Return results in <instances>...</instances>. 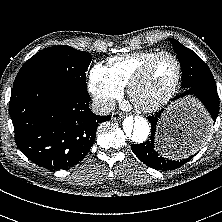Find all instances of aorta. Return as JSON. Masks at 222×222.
<instances>
[{"mask_svg":"<svg viewBox=\"0 0 222 222\" xmlns=\"http://www.w3.org/2000/svg\"><path fill=\"white\" fill-rule=\"evenodd\" d=\"M150 134V125L142 116H129L123 122V135L127 141L144 143Z\"/></svg>","mask_w":222,"mask_h":222,"instance_id":"obj_1","label":"aorta"}]
</instances>
